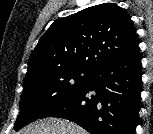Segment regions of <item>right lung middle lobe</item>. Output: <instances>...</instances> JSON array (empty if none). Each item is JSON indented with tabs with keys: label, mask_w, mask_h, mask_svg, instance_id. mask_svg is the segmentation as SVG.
<instances>
[{
	"label": "right lung middle lobe",
	"mask_w": 153,
	"mask_h": 134,
	"mask_svg": "<svg viewBox=\"0 0 153 134\" xmlns=\"http://www.w3.org/2000/svg\"><path fill=\"white\" fill-rule=\"evenodd\" d=\"M93 72L78 67H61L25 78L14 129L18 131L82 88Z\"/></svg>",
	"instance_id": "right-lung-middle-lobe-1"
}]
</instances>
